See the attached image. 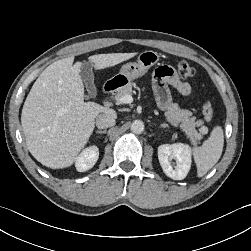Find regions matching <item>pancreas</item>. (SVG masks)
I'll use <instances>...</instances> for the list:
<instances>
[{"mask_svg": "<svg viewBox=\"0 0 251 251\" xmlns=\"http://www.w3.org/2000/svg\"><path fill=\"white\" fill-rule=\"evenodd\" d=\"M133 93V84L129 83L121 87L115 94V99H120L125 95H131ZM192 112L187 109H180L177 103H170L164 116L167 121L173 124L174 126H180L182 131L185 132L187 138L194 143H198L202 136L196 130L195 127L202 126L204 124L203 120H197L195 117H192Z\"/></svg>", "mask_w": 251, "mask_h": 251, "instance_id": "obj_1", "label": "pancreas"}]
</instances>
